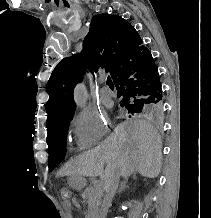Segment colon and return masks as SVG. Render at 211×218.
I'll return each instance as SVG.
<instances>
[{
    "label": "colon",
    "instance_id": "colon-1",
    "mask_svg": "<svg viewBox=\"0 0 211 218\" xmlns=\"http://www.w3.org/2000/svg\"><path fill=\"white\" fill-rule=\"evenodd\" d=\"M60 195L63 199L68 200L71 197V190L67 187H62L60 189Z\"/></svg>",
    "mask_w": 211,
    "mask_h": 218
}]
</instances>
